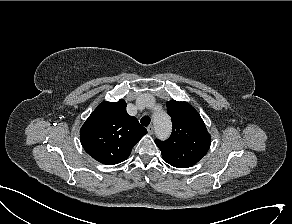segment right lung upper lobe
Returning <instances> with one entry per match:
<instances>
[{
	"label": "right lung upper lobe",
	"mask_w": 292,
	"mask_h": 224,
	"mask_svg": "<svg viewBox=\"0 0 292 224\" xmlns=\"http://www.w3.org/2000/svg\"><path fill=\"white\" fill-rule=\"evenodd\" d=\"M126 102L104 101L92 112L80 130L84 150L106 165L125 161L135 144L147 133L138 120L126 112Z\"/></svg>",
	"instance_id": "obj_1"
}]
</instances>
